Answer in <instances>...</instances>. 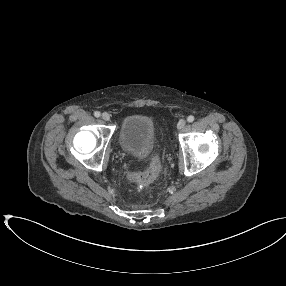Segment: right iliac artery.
I'll use <instances>...</instances> for the list:
<instances>
[{"instance_id":"obj_1","label":"right iliac artery","mask_w":286,"mask_h":286,"mask_svg":"<svg viewBox=\"0 0 286 286\" xmlns=\"http://www.w3.org/2000/svg\"><path fill=\"white\" fill-rule=\"evenodd\" d=\"M94 116H95V117H100V112H99V111H95V112H94Z\"/></svg>"}]
</instances>
